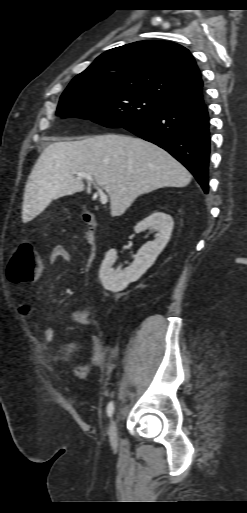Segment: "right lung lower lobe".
<instances>
[{"mask_svg": "<svg viewBox=\"0 0 247 513\" xmlns=\"http://www.w3.org/2000/svg\"><path fill=\"white\" fill-rule=\"evenodd\" d=\"M125 129L168 151L208 193L210 135L208 111L203 99L169 105Z\"/></svg>", "mask_w": 247, "mask_h": 513, "instance_id": "98d812e1", "label": "right lung lower lobe"}]
</instances>
